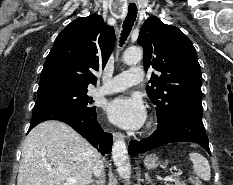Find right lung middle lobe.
Returning a JSON list of instances; mask_svg holds the SVG:
<instances>
[{
	"label": "right lung middle lobe",
	"mask_w": 233,
	"mask_h": 185,
	"mask_svg": "<svg viewBox=\"0 0 233 185\" xmlns=\"http://www.w3.org/2000/svg\"><path fill=\"white\" fill-rule=\"evenodd\" d=\"M92 103V99L87 96V89L53 87L37 91L34 107L56 106L95 113L96 109L91 106Z\"/></svg>",
	"instance_id": "1"
}]
</instances>
